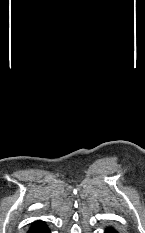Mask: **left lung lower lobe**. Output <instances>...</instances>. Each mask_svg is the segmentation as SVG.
Returning <instances> with one entry per match:
<instances>
[{"label": "left lung lower lobe", "instance_id": "obj_1", "mask_svg": "<svg viewBox=\"0 0 145 233\" xmlns=\"http://www.w3.org/2000/svg\"><path fill=\"white\" fill-rule=\"evenodd\" d=\"M105 233H117V231L113 227H107Z\"/></svg>", "mask_w": 145, "mask_h": 233}]
</instances>
